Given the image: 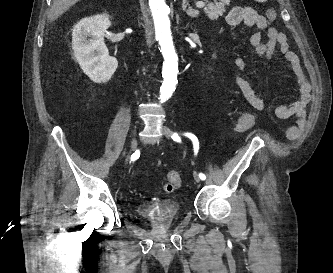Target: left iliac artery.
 Listing matches in <instances>:
<instances>
[{
  "label": "left iliac artery",
  "mask_w": 333,
  "mask_h": 273,
  "mask_svg": "<svg viewBox=\"0 0 333 273\" xmlns=\"http://www.w3.org/2000/svg\"><path fill=\"white\" fill-rule=\"evenodd\" d=\"M184 135L191 139V141L193 143V147H194V154L197 155L198 150H199V141H198L197 137L194 134H192V133H184ZM171 138L173 140L177 141V142L181 141V139H180V137H179V135L177 133H174L171 136ZM199 178L201 180H205L206 176L203 173H199Z\"/></svg>",
  "instance_id": "44dca946"
}]
</instances>
